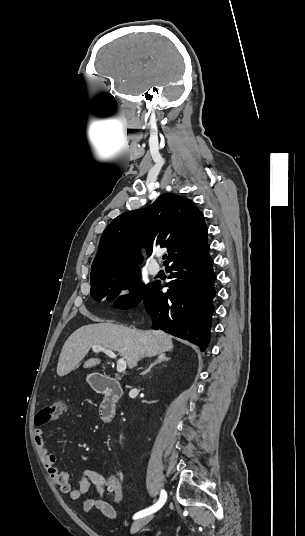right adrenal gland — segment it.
I'll use <instances>...</instances> for the list:
<instances>
[{
	"label": "right adrenal gland",
	"instance_id": "right-adrenal-gland-1",
	"mask_svg": "<svg viewBox=\"0 0 305 536\" xmlns=\"http://www.w3.org/2000/svg\"><path fill=\"white\" fill-rule=\"evenodd\" d=\"M168 360H171V358H167L166 354H160V356H158L157 360H155V362H153V364H151V366H149V368H147V370H145V372H142V376H144V374H148V372H150L151 368H153V366H156V364H161V362H168Z\"/></svg>",
	"mask_w": 305,
	"mask_h": 536
}]
</instances>
